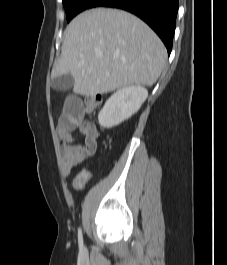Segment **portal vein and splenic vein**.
Listing matches in <instances>:
<instances>
[{
    "label": "portal vein and splenic vein",
    "instance_id": "portal-vein-and-splenic-vein-1",
    "mask_svg": "<svg viewBox=\"0 0 227 265\" xmlns=\"http://www.w3.org/2000/svg\"><path fill=\"white\" fill-rule=\"evenodd\" d=\"M103 55L102 54H99V57H102Z\"/></svg>",
    "mask_w": 227,
    "mask_h": 265
}]
</instances>
